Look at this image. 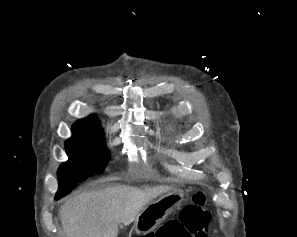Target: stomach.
I'll return each instance as SVG.
<instances>
[{
  "instance_id": "0dacf381",
  "label": "stomach",
  "mask_w": 297,
  "mask_h": 237,
  "mask_svg": "<svg viewBox=\"0 0 297 237\" xmlns=\"http://www.w3.org/2000/svg\"><path fill=\"white\" fill-rule=\"evenodd\" d=\"M181 190H173L158 200L146 205L137 215L134 231L139 235H147L168 216L183 200Z\"/></svg>"
}]
</instances>
